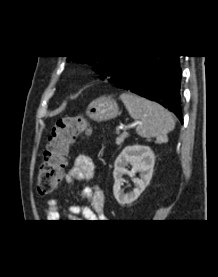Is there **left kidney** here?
<instances>
[{
  "mask_svg": "<svg viewBox=\"0 0 218 277\" xmlns=\"http://www.w3.org/2000/svg\"><path fill=\"white\" fill-rule=\"evenodd\" d=\"M154 163L155 155L148 146L133 145L122 150L115 160L113 171V193L119 204H131L140 196L152 178ZM128 164L132 166L131 171L126 169ZM137 172H140V178H134ZM125 174L132 178L135 185L129 193H124L121 188Z\"/></svg>",
  "mask_w": 218,
  "mask_h": 277,
  "instance_id": "1",
  "label": "left kidney"
}]
</instances>
